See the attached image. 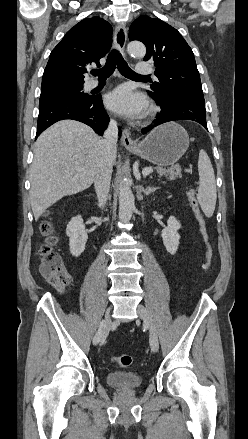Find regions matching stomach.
<instances>
[{"mask_svg":"<svg viewBox=\"0 0 248 439\" xmlns=\"http://www.w3.org/2000/svg\"><path fill=\"white\" fill-rule=\"evenodd\" d=\"M189 147L187 131L175 122L165 123L151 131L131 151L160 167L174 165Z\"/></svg>","mask_w":248,"mask_h":439,"instance_id":"obj_1","label":"stomach"}]
</instances>
